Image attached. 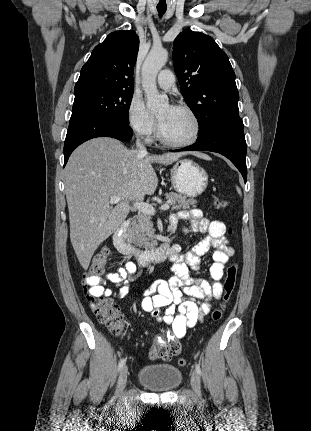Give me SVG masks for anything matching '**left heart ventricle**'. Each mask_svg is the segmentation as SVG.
<instances>
[{
	"label": "left heart ventricle",
	"mask_w": 311,
	"mask_h": 431,
	"mask_svg": "<svg viewBox=\"0 0 311 431\" xmlns=\"http://www.w3.org/2000/svg\"><path fill=\"white\" fill-rule=\"evenodd\" d=\"M158 118L161 123L164 137L184 142L190 140L196 132V123L193 117L181 109L175 108L170 110L164 107L158 112Z\"/></svg>",
	"instance_id": "1"
}]
</instances>
